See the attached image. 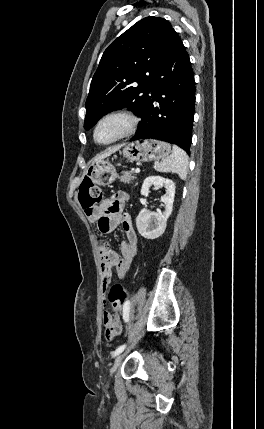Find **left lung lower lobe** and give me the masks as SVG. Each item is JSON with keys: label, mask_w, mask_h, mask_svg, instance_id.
Segmentation results:
<instances>
[{"label": "left lung lower lobe", "mask_w": 264, "mask_h": 429, "mask_svg": "<svg viewBox=\"0 0 264 429\" xmlns=\"http://www.w3.org/2000/svg\"><path fill=\"white\" fill-rule=\"evenodd\" d=\"M195 81L189 55L173 29L151 82L138 132L130 141L158 139L190 152Z\"/></svg>", "instance_id": "0a47b994"}]
</instances>
